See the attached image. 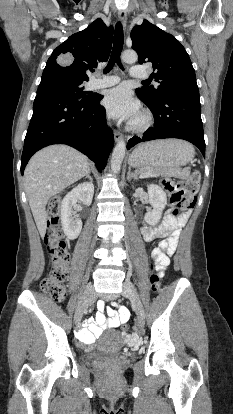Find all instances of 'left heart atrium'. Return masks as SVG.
Returning a JSON list of instances; mask_svg holds the SVG:
<instances>
[{
    "label": "left heart atrium",
    "instance_id": "left-heart-atrium-1",
    "mask_svg": "<svg viewBox=\"0 0 233 414\" xmlns=\"http://www.w3.org/2000/svg\"><path fill=\"white\" fill-rule=\"evenodd\" d=\"M103 105L110 116L122 120L134 121L140 113L138 102L125 87L109 90L103 98Z\"/></svg>",
    "mask_w": 233,
    "mask_h": 414
}]
</instances>
